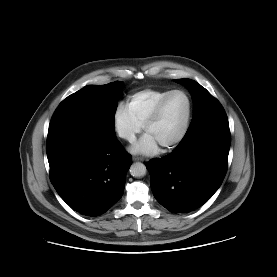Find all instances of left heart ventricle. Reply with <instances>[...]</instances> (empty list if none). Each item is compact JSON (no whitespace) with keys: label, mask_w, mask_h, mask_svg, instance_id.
Segmentation results:
<instances>
[{"label":"left heart ventricle","mask_w":277,"mask_h":277,"mask_svg":"<svg viewBox=\"0 0 277 277\" xmlns=\"http://www.w3.org/2000/svg\"><path fill=\"white\" fill-rule=\"evenodd\" d=\"M188 112V102L183 94H174L165 104L160 118L151 125L147 133L153 136L162 146L175 137L183 129Z\"/></svg>","instance_id":"1"}]
</instances>
